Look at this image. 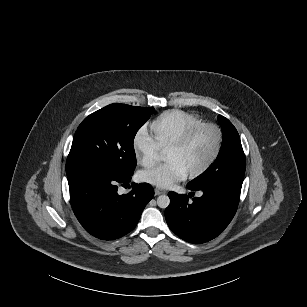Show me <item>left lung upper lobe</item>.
Instances as JSON below:
<instances>
[{
    "label": "left lung upper lobe",
    "mask_w": 307,
    "mask_h": 307,
    "mask_svg": "<svg viewBox=\"0 0 307 307\" xmlns=\"http://www.w3.org/2000/svg\"><path fill=\"white\" fill-rule=\"evenodd\" d=\"M223 142L214 163L204 173L187 184L192 190L209 186H225L241 191L245 174V155L239 134L232 123L219 115Z\"/></svg>",
    "instance_id": "1"
}]
</instances>
